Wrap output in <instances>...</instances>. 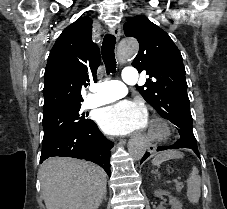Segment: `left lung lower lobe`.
I'll list each match as a JSON object with an SVG mask.
<instances>
[{
    "instance_id": "left-lung-lower-lobe-1",
    "label": "left lung lower lobe",
    "mask_w": 227,
    "mask_h": 209,
    "mask_svg": "<svg viewBox=\"0 0 227 209\" xmlns=\"http://www.w3.org/2000/svg\"><path fill=\"white\" fill-rule=\"evenodd\" d=\"M178 148L192 149L195 152V154L200 158V154H199L198 148H196L195 146L190 145V144L182 143L179 140L175 144H173L172 146H161V147L157 148V151H162V150H167V149H178ZM149 155H150V153H146L143 156L141 162H143L147 157H149Z\"/></svg>"
}]
</instances>
